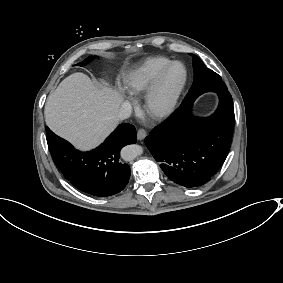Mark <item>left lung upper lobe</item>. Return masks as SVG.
<instances>
[{
    "mask_svg": "<svg viewBox=\"0 0 283 283\" xmlns=\"http://www.w3.org/2000/svg\"><path fill=\"white\" fill-rule=\"evenodd\" d=\"M193 57L194 81L193 85L183 100L184 103L194 101L199 95L209 91H228L221 77L214 71L208 69L199 57Z\"/></svg>",
    "mask_w": 283,
    "mask_h": 283,
    "instance_id": "5c2ea615",
    "label": "left lung upper lobe"
}]
</instances>
